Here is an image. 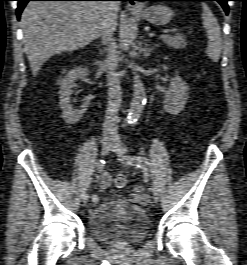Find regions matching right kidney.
Listing matches in <instances>:
<instances>
[{"label": "right kidney", "mask_w": 247, "mask_h": 265, "mask_svg": "<svg viewBox=\"0 0 247 265\" xmlns=\"http://www.w3.org/2000/svg\"><path fill=\"white\" fill-rule=\"evenodd\" d=\"M89 74L86 67L79 66L69 71L67 75L60 81V107L62 109V118L67 124H76L84 115L90 105V100L86 99L82 102L80 109H73L70 95L73 93L72 88L77 79H84Z\"/></svg>", "instance_id": "right-kidney-1"}]
</instances>
